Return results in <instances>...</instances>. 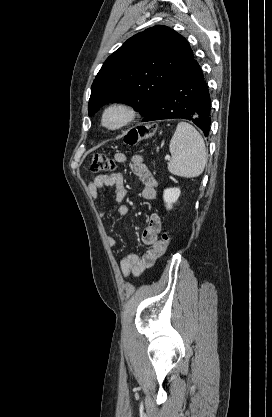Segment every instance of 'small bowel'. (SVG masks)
<instances>
[{
	"label": "small bowel",
	"mask_w": 272,
	"mask_h": 417,
	"mask_svg": "<svg viewBox=\"0 0 272 417\" xmlns=\"http://www.w3.org/2000/svg\"><path fill=\"white\" fill-rule=\"evenodd\" d=\"M115 160L119 163H125L127 156L124 153H116ZM131 169L143 184L141 192L144 200H152L156 197L158 181L151 173L145 160L140 155H134L131 158ZM105 186H114L115 191L113 200L120 203L125 195L126 188L124 177L121 173H108L96 176L87 185L88 191L94 199H98L99 194ZM118 213L122 216L128 213V207L120 205ZM101 215H104L102 212ZM162 230V219L159 214L151 213L147 220V226L142 233V241L147 246L142 255L130 253L120 261V270L124 276H138L146 269L153 266L155 261L165 252L166 248L161 244L159 234ZM107 241L110 246H116L117 240L114 237H108Z\"/></svg>",
	"instance_id": "obj_1"
}]
</instances>
